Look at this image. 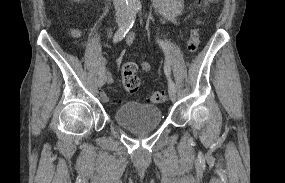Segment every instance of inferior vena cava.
I'll use <instances>...</instances> for the list:
<instances>
[{
    "label": "inferior vena cava",
    "instance_id": "obj_1",
    "mask_svg": "<svg viewBox=\"0 0 285 183\" xmlns=\"http://www.w3.org/2000/svg\"><path fill=\"white\" fill-rule=\"evenodd\" d=\"M113 4L118 18L127 17L129 14V8L126 4V0H113Z\"/></svg>",
    "mask_w": 285,
    "mask_h": 183
}]
</instances>
